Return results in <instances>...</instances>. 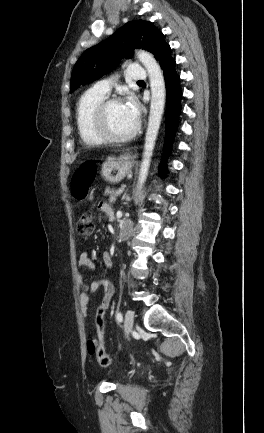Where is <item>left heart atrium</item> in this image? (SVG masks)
<instances>
[{
	"label": "left heart atrium",
	"instance_id": "1",
	"mask_svg": "<svg viewBox=\"0 0 264 433\" xmlns=\"http://www.w3.org/2000/svg\"><path fill=\"white\" fill-rule=\"evenodd\" d=\"M124 105L131 117L137 121L139 118V105L136 99L132 96L128 97Z\"/></svg>",
	"mask_w": 264,
	"mask_h": 433
}]
</instances>
